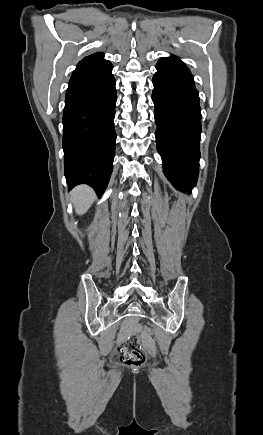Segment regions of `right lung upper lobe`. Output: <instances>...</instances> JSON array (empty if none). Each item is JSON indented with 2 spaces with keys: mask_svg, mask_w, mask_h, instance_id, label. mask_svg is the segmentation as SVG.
<instances>
[{
  "mask_svg": "<svg viewBox=\"0 0 263 435\" xmlns=\"http://www.w3.org/2000/svg\"><path fill=\"white\" fill-rule=\"evenodd\" d=\"M107 62H109V61L104 59L103 53H95V54H92L88 57H85L83 60H81L73 73L78 72V71H82V70H85L88 68L100 66V65H103Z\"/></svg>",
  "mask_w": 263,
  "mask_h": 435,
  "instance_id": "cb5924a9",
  "label": "right lung upper lobe"
}]
</instances>
